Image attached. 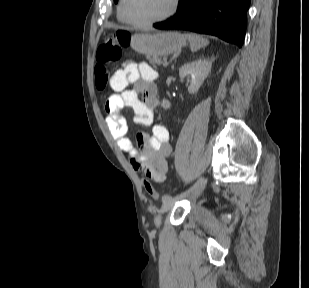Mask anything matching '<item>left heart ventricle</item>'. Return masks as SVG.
Wrapping results in <instances>:
<instances>
[{
  "label": "left heart ventricle",
  "mask_w": 309,
  "mask_h": 288,
  "mask_svg": "<svg viewBox=\"0 0 309 288\" xmlns=\"http://www.w3.org/2000/svg\"><path fill=\"white\" fill-rule=\"evenodd\" d=\"M172 0H127V15L134 21L143 22L164 15L171 8Z\"/></svg>",
  "instance_id": "b2bd125f"
}]
</instances>
